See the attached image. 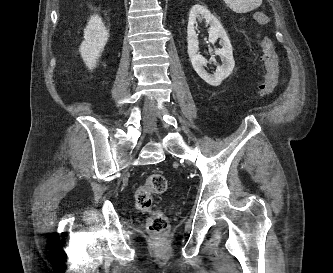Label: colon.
<instances>
[{"label":"colon","instance_id":"1","mask_svg":"<svg viewBox=\"0 0 333 273\" xmlns=\"http://www.w3.org/2000/svg\"><path fill=\"white\" fill-rule=\"evenodd\" d=\"M254 19L260 24L269 22L268 16L263 12L254 13ZM262 54L260 60L263 64L264 74L258 86L260 97L270 95L276 88L279 80V64L271 38L266 35L260 42ZM168 187L166 178L159 173L146 177L143 184L136 191V203L140 210L149 211L152 207V196L163 194ZM168 228L166 216L159 211H154L149 219V229L157 234L164 233Z\"/></svg>","mask_w":333,"mask_h":273}]
</instances>
